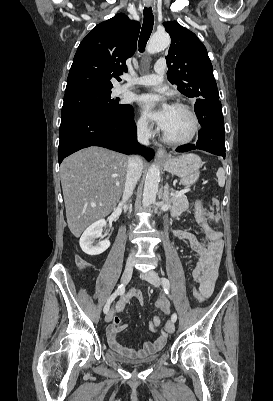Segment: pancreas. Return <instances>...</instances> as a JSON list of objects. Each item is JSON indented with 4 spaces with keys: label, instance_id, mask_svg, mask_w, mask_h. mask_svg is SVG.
Listing matches in <instances>:
<instances>
[{
    "label": "pancreas",
    "instance_id": "1",
    "mask_svg": "<svg viewBox=\"0 0 273 401\" xmlns=\"http://www.w3.org/2000/svg\"><path fill=\"white\" fill-rule=\"evenodd\" d=\"M175 195L178 194H173V196H171L168 201V203H171L172 205L171 217H180L181 213L187 211L189 207L188 198L186 194H183V196L179 198H175Z\"/></svg>",
    "mask_w": 273,
    "mask_h": 401
}]
</instances>
